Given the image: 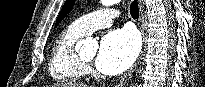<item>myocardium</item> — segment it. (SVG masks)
Listing matches in <instances>:
<instances>
[{
    "label": "myocardium",
    "mask_w": 205,
    "mask_h": 87,
    "mask_svg": "<svg viewBox=\"0 0 205 87\" xmlns=\"http://www.w3.org/2000/svg\"><path fill=\"white\" fill-rule=\"evenodd\" d=\"M78 60L84 68L90 67V62L85 61L81 56H78Z\"/></svg>",
    "instance_id": "obj_1"
}]
</instances>
